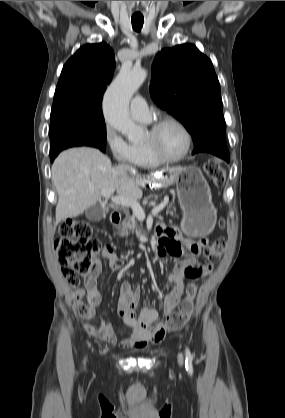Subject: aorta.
Listing matches in <instances>:
<instances>
[{"label":"aorta","instance_id":"aorta-1","mask_svg":"<svg viewBox=\"0 0 285 418\" xmlns=\"http://www.w3.org/2000/svg\"><path fill=\"white\" fill-rule=\"evenodd\" d=\"M146 77L147 72L141 67L122 68L108 87L103 100L107 124L125 135L131 142L138 141L143 131L129 116V101Z\"/></svg>","mask_w":285,"mask_h":418}]
</instances>
